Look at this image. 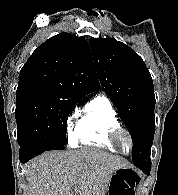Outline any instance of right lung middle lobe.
<instances>
[{
	"label": "right lung middle lobe",
	"mask_w": 178,
	"mask_h": 195,
	"mask_svg": "<svg viewBox=\"0 0 178 195\" xmlns=\"http://www.w3.org/2000/svg\"><path fill=\"white\" fill-rule=\"evenodd\" d=\"M77 102L45 95L17 97L15 118L20 148L64 146L68 115Z\"/></svg>",
	"instance_id": "dd1d6c3e"
}]
</instances>
